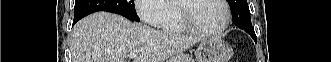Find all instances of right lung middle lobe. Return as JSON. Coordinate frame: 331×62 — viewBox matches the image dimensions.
I'll return each instance as SVG.
<instances>
[{"label": "right lung middle lobe", "mask_w": 331, "mask_h": 62, "mask_svg": "<svg viewBox=\"0 0 331 62\" xmlns=\"http://www.w3.org/2000/svg\"><path fill=\"white\" fill-rule=\"evenodd\" d=\"M97 11L117 13L131 21L140 20L135 10L134 0H76L74 19L80 20Z\"/></svg>", "instance_id": "dd1d6c3e"}]
</instances>
